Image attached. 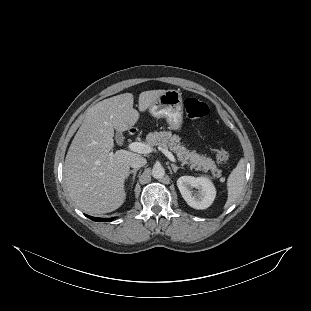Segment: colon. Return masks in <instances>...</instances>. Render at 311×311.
I'll list each match as a JSON object with an SVG mask.
<instances>
[{
    "label": "colon",
    "mask_w": 311,
    "mask_h": 311,
    "mask_svg": "<svg viewBox=\"0 0 311 311\" xmlns=\"http://www.w3.org/2000/svg\"><path fill=\"white\" fill-rule=\"evenodd\" d=\"M185 113L189 119L195 122L202 121L207 118L209 108L206 103L200 101L195 97H187L184 100ZM217 161L222 166H227L229 163V154L224 148L214 149Z\"/></svg>",
    "instance_id": "5ec220e1"
}]
</instances>
